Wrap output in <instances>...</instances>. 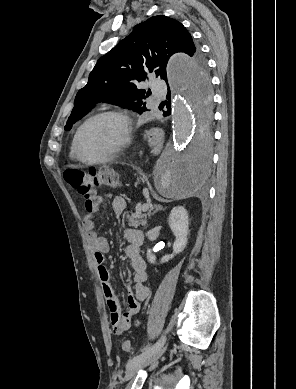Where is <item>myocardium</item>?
<instances>
[{
	"label": "myocardium",
	"mask_w": 296,
	"mask_h": 389,
	"mask_svg": "<svg viewBox=\"0 0 296 389\" xmlns=\"http://www.w3.org/2000/svg\"><path fill=\"white\" fill-rule=\"evenodd\" d=\"M103 117H114V118H117L121 122L122 132H123L122 139L114 148H112L108 153H106L102 157L97 158V159H86L80 153L81 135H82L84 129L90 123H92L93 121H95L97 119L103 118ZM131 136H132V134H131V119L127 113H125L121 110H116V109H109V110H104V111L98 112V113L92 115L91 117H89L88 119H86L81 124V126L78 128L76 135H75V138H74L75 157L79 161H81L85 164H100V163L106 162V161L114 158L115 156H117L120 152H122L129 145V143L131 141Z\"/></svg>",
	"instance_id": "obj_1"
}]
</instances>
